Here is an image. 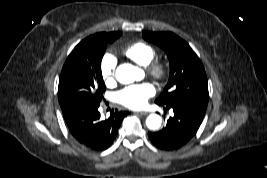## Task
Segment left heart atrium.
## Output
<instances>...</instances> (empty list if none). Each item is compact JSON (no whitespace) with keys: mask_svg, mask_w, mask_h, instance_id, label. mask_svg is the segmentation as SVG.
<instances>
[{"mask_svg":"<svg viewBox=\"0 0 267 178\" xmlns=\"http://www.w3.org/2000/svg\"><path fill=\"white\" fill-rule=\"evenodd\" d=\"M154 94V86L145 82L124 87L115 94V100L124 107L139 109L144 107Z\"/></svg>","mask_w":267,"mask_h":178,"instance_id":"1","label":"left heart atrium"}]
</instances>
